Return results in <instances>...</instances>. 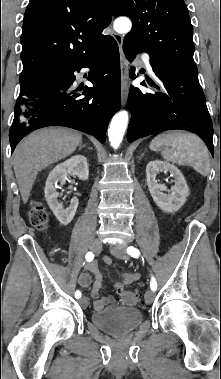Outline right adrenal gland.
Masks as SVG:
<instances>
[{
    "instance_id": "2a0ac1e0",
    "label": "right adrenal gland",
    "mask_w": 221,
    "mask_h": 379,
    "mask_svg": "<svg viewBox=\"0 0 221 379\" xmlns=\"http://www.w3.org/2000/svg\"><path fill=\"white\" fill-rule=\"evenodd\" d=\"M86 145L84 144V145H80L79 146V150H81L83 147H85Z\"/></svg>"
}]
</instances>
